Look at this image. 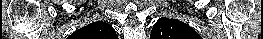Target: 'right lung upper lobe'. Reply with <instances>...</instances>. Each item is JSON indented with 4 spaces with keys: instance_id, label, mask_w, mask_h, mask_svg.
Wrapping results in <instances>:
<instances>
[{
    "instance_id": "obj_1",
    "label": "right lung upper lobe",
    "mask_w": 263,
    "mask_h": 39,
    "mask_svg": "<svg viewBox=\"0 0 263 39\" xmlns=\"http://www.w3.org/2000/svg\"><path fill=\"white\" fill-rule=\"evenodd\" d=\"M74 36L82 39H116L115 30L105 22H93L77 31Z\"/></svg>"
}]
</instances>
